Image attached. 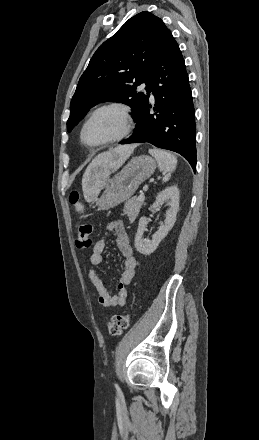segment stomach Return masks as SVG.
<instances>
[{
  "label": "stomach",
  "instance_id": "stomach-1",
  "mask_svg": "<svg viewBox=\"0 0 259 440\" xmlns=\"http://www.w3.org/2000/svg\"><path fill=\"white\" fill-rule=\"evenodd\" d=\"M155 160L147 155L132 158L128 164L109 180L105 191L98 199L100 210L113 208L129 199L139 185L155 171Z\"/></svg>",
  "mask_w": 259,
  "mask_h": 440
}]
</instances>
